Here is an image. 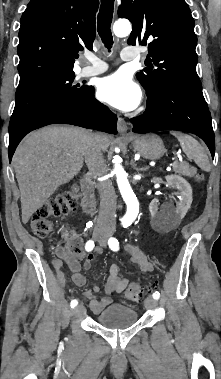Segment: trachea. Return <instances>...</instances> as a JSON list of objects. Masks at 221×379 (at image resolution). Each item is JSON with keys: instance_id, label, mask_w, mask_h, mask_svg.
I'll list each match as a JSON object with an SVG mask.
<instances>
[{"instance_id": "obj_1", "label": "trachea", "mask_w": 221, "mask_h": 379, "mask_svg": "<svg viewBox=\"0 0 221 379\" xmlns=\"http://www.w3.org/2000/svg\"><path fill=\"white\" fill-rule=\"evenodd\" d=\"M114 0H101L100 11L97 18L98 34L108 51L113 45L111 23L113 17Z\"/></svg>"}]
</instances>
